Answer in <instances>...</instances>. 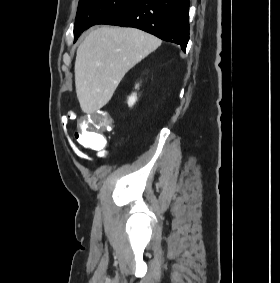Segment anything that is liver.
I'll use <instances>...</instances> for the list:
<instances>
[{"label":"liver","instance_id":"6515ba94","mask_svg":"<svg viewBox=\"0 0 280 283\" xmlns=\"http://www.w3.org/2000/svg\"><path fill=\"white\" fill-rule=\"evenodd\" d=\"M161 41L135 28L102 26L77 49L75 86L80 107L92 114L104 107L124 75L159 47Z\"/></svg>","mask_w":280,"mask_h":283}]
</instances>
